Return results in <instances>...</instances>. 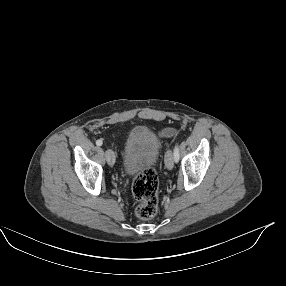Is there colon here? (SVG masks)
<instances>
[{"mask_svg":"<svg viewBox=\"0 0 286 286\" xmlns=\"http://www.w3.org/2000/svg\"><path fill=\"white\" fill-rule=\"evenodd\" d=\"M157 173L153 169L141 172L133 181L132 192L139 202L135 208L136 216L142 220L153 218L158 211Z\"/></svg>","mask_w":286,"mask_h":286,"instance_id":"1","label":"colon"}]
</instances>
